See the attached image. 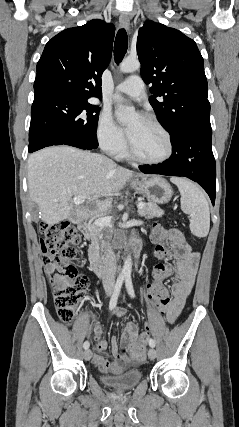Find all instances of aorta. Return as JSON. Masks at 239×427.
I'll return each instance as SVG.
<instances>
[{
	"instance_id": "aorta-1",
	"label": "aorta",
	"mask_w": 239,
	"mask_h": 427,
	"mask_svg": "<svg viewBox=\"0 0 239 427\" xmlns=\"http://www.w3.org/2000/svg\"><path fill=\"white\" fill-rule=\"evenodd\" d=\"M140 68V62L138 59H125L120 64V71L123 73H130L138 70ZM114 101L116 102V117L117 119L123 123L126 124L129 121H131L135 115V109L131 106H124L122 104V97L119 94H115L113 96ZM132 271V260L131 257L128 256L124 262L121 276L123 277H130Z\"/></svg>"
}]
</instances>
